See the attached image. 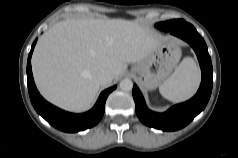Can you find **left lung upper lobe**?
I'll return each mask as SVG.
<instances>
[{
  "label": "left lung upper lobe",
  "instance_id": "left-lung-upper-lobe-1",
  "mask_svg": "<svg viewBox=\"0 0 238 158\" xmlns=\"http://www.w3.org/2000/svg\"><path fill=\"white\" fill-rule=\"evenodd\" d=\"M171 21H175L176 25H182V24L186 23L184 20H171ZM171 21L157 23V24H156V27L159 28L160 30L168 31V29L166 28V26H167Z\"/></svg>",
  "mask_w": 238,
  "mask_h": 158
}]
</instances>
